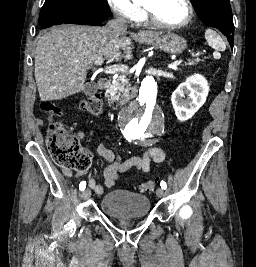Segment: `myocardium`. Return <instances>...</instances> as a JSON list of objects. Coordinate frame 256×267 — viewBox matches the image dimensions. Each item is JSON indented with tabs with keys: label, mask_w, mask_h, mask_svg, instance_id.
Masks as SVG:
<instances>
[{
	"label": "myocardium",
	"mask_w": 256,
	"mask_h": 267,
	"mask_svg": "<svg viewBox=\"0 0 256 267\" xmlns=\"http://www.w3.org/2000/svg\"><path fill=\"white\" fill-rule=\"evenodd\" d=\"M169 1H175V2L182 4L185 7L186 12H187L186 17L183 21L179 23H173V24H168V25L159 26V27L167 31H173V30H177L188 25L194 15V10L189 0H169ZM147 7L149 9V16L152 19V9L149 5H147Z\"/></svg>",
	"instance_id": "f54148a6"
}]
</instances>
